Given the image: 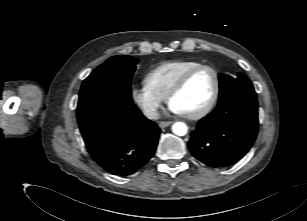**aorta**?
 Wrapping results in <instances>:
<instances>
[{"label":"aorta","instance_id":"aorta-1","mask_svg":"<svg viewBox=\"0 0 307 221\" xmlns=\"http://www.w3.org/2000/svg\"><path fill=\"white\" fill-rule=\"evenodd\" d=\"M188 127L183 122H176L172 125V132L178 136H184L187 134Z\"/></svg>","mask_w":307,"mask_h":221}]
</instances>
